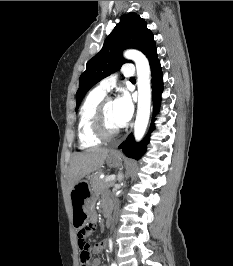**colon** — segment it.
<instances>
[{
	"label": "colon",
	"instance_id": "obj_1",
	"mask_svg": "<svg viewBox=\"0 0 233 266\" xmlns=\"http://www.w3.org/2000/svg\"><path fill=\"white\" fill-rule=\"evenodd\" d=\"M95 229L94 223L90 222L87 228H82V231L78 232V245L80 248V261L81 266H88L91 257L90 246L85 240L87 232H92Z\"/></svg>",
	"mask_w": 233,
	"mask_h": 266
}]
</instances>
